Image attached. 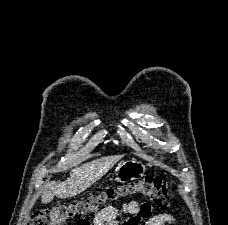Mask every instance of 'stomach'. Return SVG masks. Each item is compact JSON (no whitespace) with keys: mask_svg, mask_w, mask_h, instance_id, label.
I'll list each match as a JSON object with an SVG mask.
<instances>
[{"mask_svg":"<svg viewBox=\"0 0 228 225\" xmlns=\"http://www.w3.org/2000/svg\"><path fill=\"white\" fill-rule=\"evenodd\" d=\"M146 171L145 165L135 159L120 163L116 169V181L118 183H129V181H137L140 177H144Z\"/></svg>","mask_w":228,"mask_h":225,"instance_id":"stomach-1","label":"stomach"}]
</instances>
